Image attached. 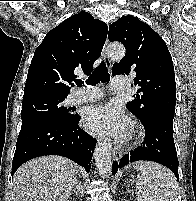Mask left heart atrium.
I'll list each match as a JSON object with an SVG mask.
<instances>
[{
    "label": "left heart atrium",
    "instance_id": "obj_1",
    "mask_svg": "<svg viewBox=\"0 0 196 201\" xmlns=\"http://www.w3.org/2000/svg\"><path fill=\"white\" fill-rule=\"evenodd\" d=\"M83 122L93 134H111L120 140L127 138L132 129L131 119L114 104L88 108Z\"/></svg>",
    "mask_w": 196,
    "mask_h": 201
}]
</instances>
